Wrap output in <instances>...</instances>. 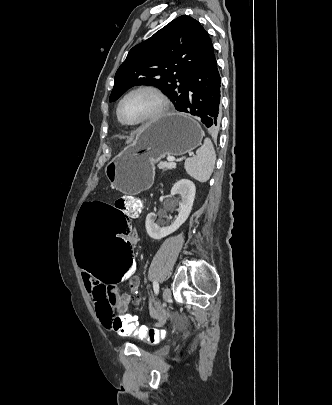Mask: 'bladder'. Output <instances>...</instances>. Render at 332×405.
Returning <instances> with one entry per match:
<instances>
[{"label":"bladder","mask_w":332,"mask_h":405,"mask_svg":"<svg viewBox=\"0 0 332 405\" xmlns=\"http://www.w3.org/2000/svg\"><path fill=\"white\" fill-rule=\"evenodd\" d=\"M167 352L166 348H161L156 351L157 355H164Z\"/></svg>","instance_id":"bladder-1"}]
</instances>
